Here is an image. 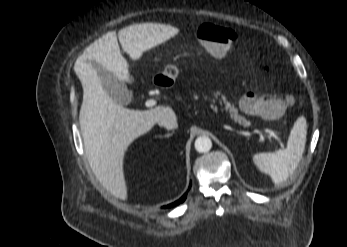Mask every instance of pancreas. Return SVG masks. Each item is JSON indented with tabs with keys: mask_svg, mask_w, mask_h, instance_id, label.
I'll list each match as a JSON object with an SVG mask.
<instances>
[{
	"mask_svg": "<svg viewBox=\"0 0 347 247\" xmlns=\"http://www.w3.org/2000/svg\"><path fill=\"white\" fill-rule=\"evenodd\" d=\"M218 95H219L218 93H214V94H213V96H214V98L212 99V102H213V103H215V99L218 98ZM194 96L196 97L197 95H194ZM222 102L225 104L224 110L227 111V112H229L230 117H231L232 119H234L236 122H239L240 124H245L244 119H242V118L239 116V114H238V109H237L233 104H231L230 102H228V101L226 100V98H222V100L220 101V104H222ZM211 107H212L213 109H216V107H215L213 104H211Z\"/></svg>",
	"mask_w": 347,
	"mask_h": 247,
	"instance_id": "obj_1",
	"label": "pancreas"
}]
</instances>
